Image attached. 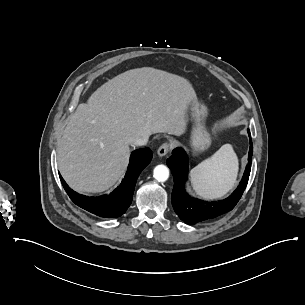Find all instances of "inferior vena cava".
Masks as SVG:
<instances>
[{
	"instance_id": "1",
	"label": "inferior vena cava",
	"mask_w": 305,
	"mask_h": 305,
	"mask_svg": "<svg viewBox=\"0 0 305 305\" xmlns=\"http://www.w3.org/2000/svg\"><path fill=\"white\" fill-rule=\"evenodd\" d=\"M149 135L150 134H143V135L132 137V138H130V143L135 146L146 145L148 142Z\"/></svg>"
}]
</instances>
